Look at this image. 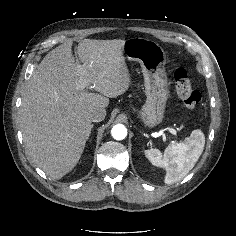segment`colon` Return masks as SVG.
I'll return each instance as SVG.
<instances>
[{
  "instance_id": "1",
  "label": "colon",
  "mask_w": 236,
  "mask_h": 236,
  "mask_svg": "<svg viewBox=\"0 0 236 236\" xmlns=\"http://www.w3.org/2000/svg\"><path fill=\"white\" fill-rule=\"evenodd\" d=\"M174 80L178 98L186 108L195 110L201 100V95L193 88L188 72L183 68L177 69L174 73Z\"/></svg>"
}]
</instances>
